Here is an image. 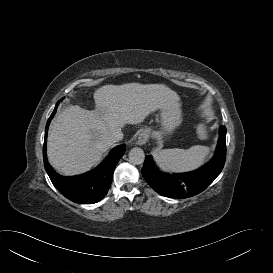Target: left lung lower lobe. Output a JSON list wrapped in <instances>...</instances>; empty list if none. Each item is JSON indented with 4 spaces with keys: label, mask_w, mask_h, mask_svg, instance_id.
<instances>
[{
    "label": "left lung lower lobe",
    "mask_w": 273,
    "mask_h": 273,
    "mask_svg": "<svg viewBox=\"0 0 273 273\" xmlns=\"http://www.w3.org/2000/svg\"><path fill=\"white\" fill-rule=\"evenodd\" d=\"M220 137L214 157L201 168L187 173H164L147 156L142 175L149 185L160 195L169 198H187L205 190L220 174L226 159V128L220 126Z\"/></svg>",
    "instance_id": "left-lung-lower-lobe-1"
}]
</instances>
